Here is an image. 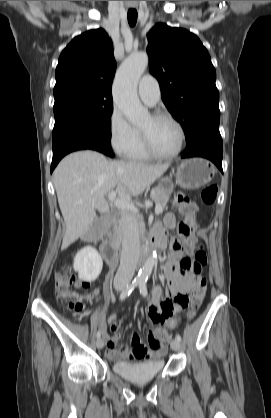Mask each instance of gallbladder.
Masks as SVG:
<instances>
[{
	"label": "gallbladder",
	"mask_w": 271,
	"mask_h": 418,
	"mask_svg": "<svg viewBox=\"0 0 271 418\" xmlns=\"http://www.w3.org/2000/svg\"><path fill=\"white\" fill-rule=\"evenodd\" d=\"M106 221V215H99L93 222V224L91 225L88 234L91 236H96L99 235L104 227Z\"/></svg>",
	"instance_id": "obj_1"
}]
</instances>
